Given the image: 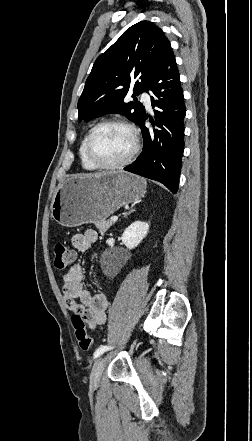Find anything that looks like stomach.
Wrapping results in <instances>:
<instances>
[{
  "instance_id": "stomach-1",
  "label": "stomach",
  "mask_w": 252,
  "mask_h": 441,
  "mask_svg": "<svg viewBox=\"0 0 252 441\" xmlns=\"http://www.w3.org/2000/svg\"><path fill=\"white\" fill-rule=\"evenodd\" d=\"M145 189L143 178L123 171L74 176L54 194L51 217L66 227L103 221L121 206L139 200Z\"/></svg>"
}]
</instances>
